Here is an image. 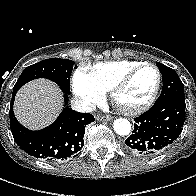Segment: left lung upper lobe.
<instances>
[{
  "label": "left lung upper lobe",
  "instance_id": "1",
  "mask_svg": "<svg viewBox=\"0 0 196 196\" xmlns=\"http://www.w3.org/2000/svg\"><path fill=\"white\" fill-rule=\"evenodd\" d=\"M156 65L162 74L163 80L162 92L156 101H162L166 99L185 100L184 85L179 79L177 73L173 69L159 62H157Z\"/></svg>",
  "mask_w": 196,
  "mask_h": 196
}]
</instances>
